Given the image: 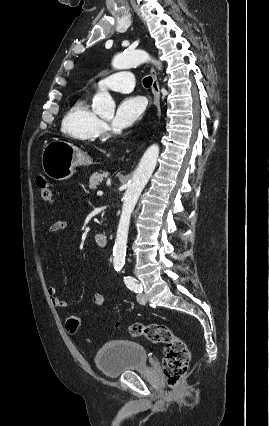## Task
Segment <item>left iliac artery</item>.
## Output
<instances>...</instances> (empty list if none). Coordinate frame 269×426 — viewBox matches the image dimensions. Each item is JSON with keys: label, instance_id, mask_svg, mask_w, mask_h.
I'll return each mask as SVG.
<instances>
[{"label": "left iliac artery", "instance_id": "obj_1", "mask_svg": "<svg viewBox=\"0 0 269 426\" xmlns=\"http://www.w3.org/2000/svg\"><path fill=\"white\" fill-rule=\"evenodd\" d=\"M120 269L121 268H117L116 270L120 271ZM124 279H125L126 286L130 290H132V291H134L136 293H142L143 289H142L141 285H139L137 283V280L135 278H132V277L128 276V277H124Z\"/></svg>", "mask_w": 269, "mask_h": 426}]
</instances>
